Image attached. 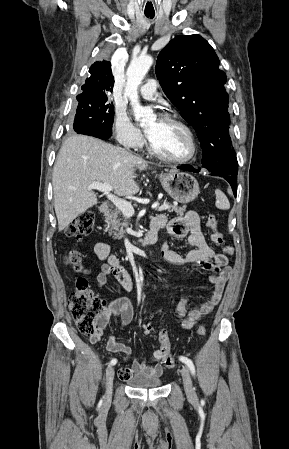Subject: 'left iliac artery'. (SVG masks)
<instances>
[{
    "label": "left iliac artery",
    "mask_w": 289,
    "mask_h": 449,
    "mask_svg": "<svg viewBox=\"0 0 289 449\" xmlns=\"http://www.w3.org/2000/svg\"><path fill=\"white\" fill-rule=\"evenodd\" d=\"M179 360L182 361L183 363H185L188 366V368L190 369L192 375H195L194 364H193V362L189 358L184 357V356H180Z\"/></svg>",
    "instance_id": "1"
}]
</instances>
